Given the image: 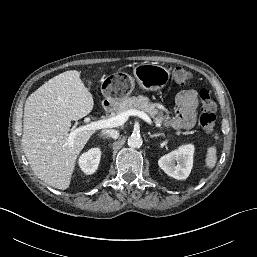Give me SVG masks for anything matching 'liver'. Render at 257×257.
<instances>
[{
	"mask_svg": "<svg viewBox=\"0 0 257 257\" xmlns=\"http://www.w3.org/2000/svg\"><path fill=\"white\" fill-rule=\"evenodd\" d=\"M93 105L77 70L51 78L27 98L21 145L32 171L46 184L69 187L76 160L94 133L82 131L69 141L71 121L88 115Z\"/></svg>",
	"mask_w": 257,
	"mask_h": 257,
	"instance_id": "1",
	"label": "liver"
}]
</instances>
